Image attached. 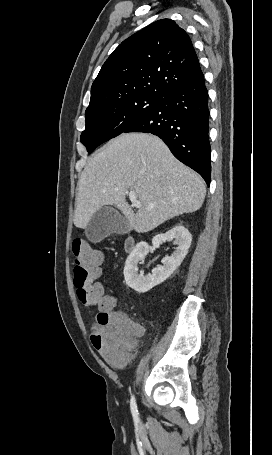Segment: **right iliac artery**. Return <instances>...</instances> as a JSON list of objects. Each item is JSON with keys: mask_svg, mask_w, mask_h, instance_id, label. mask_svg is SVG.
<instances>
[{"mask_svg": "<svg viewBox=\"0 0 272 455\" xmlns=\"http://www.w3.org/2000/svg\"><path fill=\"white\" fill-rule=\"evenodd\" d=\"M130 408H131V412H132L134 420L138 421V410H137V405H136V401H135V397L134 396L131 397Z\"/></svg>", "mask_w": 272, "mask_h": 455, "instance_id": "82829eb1", "label": "right iliac artery"}]
</instances>
